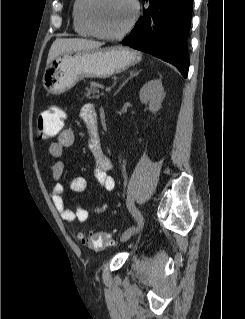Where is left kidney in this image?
<instances>
[{"instance_id":"obj_1","label":"left kidney","mask_w":245,"mask_h":319,"mask_svg":"<svg viewBox=\"0 0 245 319\" xmlns=\"http://www.w3.org/2000/svg\"><path fill=\"white\" fill-rule=\"evenodd\" d=\"M164 95L162 82L156 79L145 83L139 92L141 102L148 104L152 113H156L161 108Z\"/></svg>"}]
</instances>
